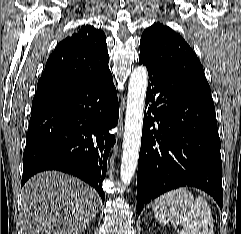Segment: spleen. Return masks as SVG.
<instances>
[{"label":"spleen","mask_w":241,"mask_h":234,"mask_svg":"<svg viewBox=\"0 0 241 234\" xmlns=\"http://www.w3.org/2000/svg\"><path fill=\"white\" fill-rule=\"evenodd\" d=\"M153 210L160 223L182 225L183 234H214L209 204L202 196L194 199L187 188L161 195L155 199Z\"/></svg>","instance_id":"obj_1"}]
</instances>
